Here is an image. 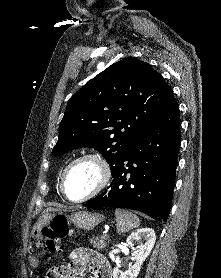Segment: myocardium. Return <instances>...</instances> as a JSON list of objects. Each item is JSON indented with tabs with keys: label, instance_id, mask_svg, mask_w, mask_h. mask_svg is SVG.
Instances as JSON below:
<instances>
[{
	"label": "myocardium",
	"instance_id": "1",
	"mask_svg": "<svg viewBox=\"0 0 221 278\" xmlns=\"http://www.w3.org/2000/svg\"><path fill=\"white\" fill-rule=\"evenodd\" d=\"M83 161H91L93 162L99 170V179L97 181V184L95 187L85 196L79 199H71L68 197L66 190H65V184H66V179L68 172L70 169L76 165L77 163L83 162ZM112 177V171L109 163L100 155L95 154V153H84L81 155H78L77 157L73 158L64 168L61 176V181H60V189L62 192V195L64 198L72 203H83L88 201L89 199L95 197L98 195L100 192H102L110 183Z\"/></svg>",
	"mask_w": 221,
	"mask_h": 278
}]
</instances>
